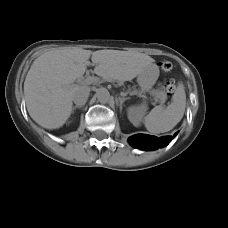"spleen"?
Segmentation results:
<instances>
[{
	"mask_svg": "<svg viewBox=\"0 0 228 228\" xmlns=\"http://www.w3.org/2000/svg\"><path fill=\"white\" fill-rule=\"evenodd\" d=\"M186 108V93L182 83H179L172 96V102L167 107L158 105L144 118L146 129L153 134L172 130L183 118Z\"/></svg>",
	"mask_w": 228,
	"mask_h": 228,
	"instance_id": "3e777b00",
	"label": "spleen"
}]
</instances>
